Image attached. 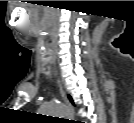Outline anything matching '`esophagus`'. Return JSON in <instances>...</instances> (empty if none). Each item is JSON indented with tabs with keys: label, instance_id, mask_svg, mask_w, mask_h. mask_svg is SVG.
<instances>
[{
	"label": "esophagus",
	"instance_id": "34e87169",
	"mask_svg": "<svg viewBox=\"0 0 134 123\" xmlns=\"http://www.w3.org/2000/svg\"><path fill=\"white\" fill-rule=\"evenodd\" d=\"M58 86H59V90H60V93H61V96H62V99L64 100L65 104L67 106H69L68 104V100H67V97H66V93H65V90L61 84V82L58 80Z\"/></svg>",
	"mask_w": 134,
	"mask_h": 123
}]
</instances>
